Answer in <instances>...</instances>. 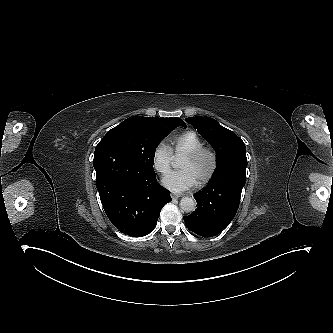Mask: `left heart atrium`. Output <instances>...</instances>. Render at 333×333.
<instances>
[{
	"label": "left heart atrium",
	"instance_id": "1",
	"mask_svg": "<svg viewBox=\"0 0 333 333\" xmlns=\"http://www.w3.org/2000/svg\"><path fill=\"white\" fill-rule=\"evenodd\" d=\"M163 184L175 192H182L191 188L194 185V180L188 171L175 170L164 176Z\"/></svg>",
	"mask_w": 333,
	"mask_h": 333
}]
</instances>
